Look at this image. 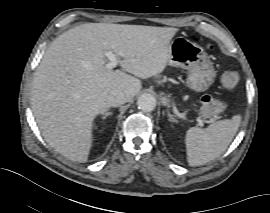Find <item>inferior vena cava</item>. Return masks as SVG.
Wrapping results in <instances>:
<instances>
[{"label":"inferior vena cava","mask_w":270,"mask_h":213,"mask_svg":"<svg viewBox=\"0 0 270 213\" xmlns=\"http://www.w3.org/2000/svg\"><path fill=\"white\" fill-rule=\"evenodd\" d=\"M108 101L111 107H116L127 102V97L124 92L114 90L109 94Z\"/></svg>","instance_id":"obj_1"}]
</instances>
